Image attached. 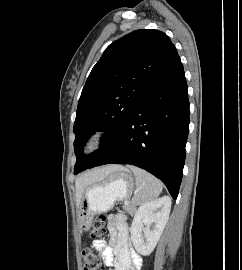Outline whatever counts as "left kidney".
Here are the masks:
<instances>
[{"instance_id": "obj_1", "label": "left kidney", "mask_w": 242, "mask_h": 270, "mask_svg": "<svg viewBox=\"0 0 242 270\" xmlns=\"http://www.w3.org/2000/svg\"><path fill=\"white\" fill-rule=\"evenodd\" d=\"M170 209L171 199L168 196L144 203L138 208L130 232L133 246L139 254L148 256L152 253L168 221Z\"/></svg>"}]
</instances>
